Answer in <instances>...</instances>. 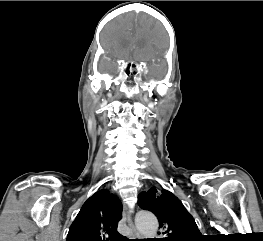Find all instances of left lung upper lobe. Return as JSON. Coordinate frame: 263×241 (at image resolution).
Returning a JSON list of instances; mask_svg holds the SVG:
<instances>
[{"label":"left lung upper lobe","instance_id":"left-lung-upper-lobe-1","mask_svg":"<svg viewBox=\"0 0 263 241\" xmlns=\"http://www.w3.org/2000/svg\"><path fill=\"white\" fill-rule=\"evenodd\" d=\"M138 205L154 213L159 226L167 237L161 241H203L192 215L170 191L152 187L138 195Z\"/></svg>","mask_w":263,"mask_h":241}]
</instances>
